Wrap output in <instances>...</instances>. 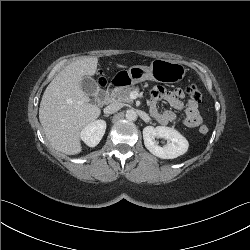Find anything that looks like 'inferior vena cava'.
Instances as JSON below:
<instances>
[{
	"instance_id": "602c4592",
	"label": "inferior vena cava",
	"mask_w": 250,
	"mask_h": 250,
	"mask_svg": "<svg viewBox=\"0 0 250 250\" xmlns=\"http://www.w3.org/2000/svg\"><path fill=\"white\" fill-rule=\"evenodd\" d=\"M121 107H122L121 103H117V102L111 103L104 108V113L105 114H113V113L119 111V109H121Z\"/></svg>"
}]
</instances>
